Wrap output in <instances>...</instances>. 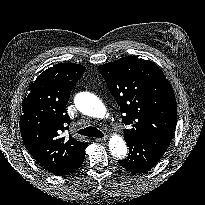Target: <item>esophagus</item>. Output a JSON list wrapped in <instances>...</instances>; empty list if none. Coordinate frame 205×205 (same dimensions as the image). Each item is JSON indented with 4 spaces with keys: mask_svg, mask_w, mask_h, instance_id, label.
<instances>
[{
    "mask_svg": "<svg viewBox=\"0 0 205 205\" xmlns=\"http://www.w3.org/2000/svg\"><path fill=\"white\" fill-rule=\"evenodd\" d=\"M95 141H96V142H106V141H107V138H106V137H103V138H95Z\"/></svg>",
    "mask_w": 205,
    "mask_h": 205,
    "instance_id": "obj_1",
    "label": "esophagus"
}]
</instances>
